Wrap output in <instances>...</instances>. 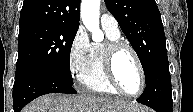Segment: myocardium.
Returning <instances> with one entry per match:
<instances>
[{
  "label": "myocardium",
  "instance_id": "obj_1",
  "mask_svg": "<svg viewBox=\"0 0 193 112\" xmlns=\"http://www.w3.org/2000/svg\"><path fill=\"white\" fill-rule=\"evenodd\" d=\"M122 50H128L133 55L140 73V88L138 92L134 94L128 93L122 88L115 74V59ZM103 68L108 82L120 94L128 97H138L143 93L146 86L144 67L137 51L130 44L122 40H112L106 42L103 48Z\"/></svg>",
  "mask_w": 193,
  "mask_h": 112
}]
</instances>
